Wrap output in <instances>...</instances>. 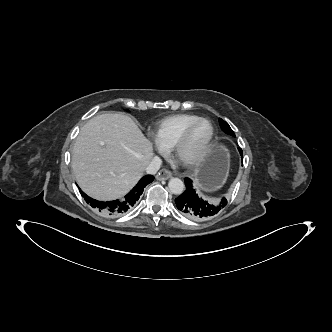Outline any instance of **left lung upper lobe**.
<instances>
[{
    "label": "left lung upper lobe",
    "instance_id": "1",
    "mask_svg": "<svg viewBox=\"0 0 332 332\" xmlns=\"http://www.w3.org/2000/svg\"><path fill=\"white\" fill-rule=\"evenodd\" d=\"M219 124H220V127L222 128V130L229 134V135H232V136H235L233 130L230 128V126L228 125L227 122H225L224 120L222 119H219Z\"/></svg>",
    "mask_w": 332,
    "mask_h": 332
}]
</instances>
